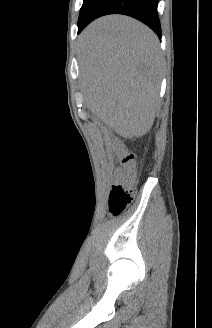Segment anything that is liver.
Masks as SVG:
<instances>
[{"label": "liver", "mask_w": 212, "mask_h": 328, "mask_svg": "<svg viewBox=\"0 0 212 328\" xmlns=\"http://www.w3.org/2000/svg\"><path fill=\"white\" fill-rule=\"evenodd\" d=\"M87 108L124 138L145 134L159 107L162 62L157 36L139 21L101 17L79 38Z\"/></svg>", "instance_id": "1"}]
</instances>
